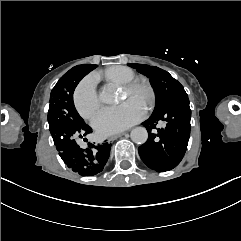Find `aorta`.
<instances>
[{
	"label": "aorta",
	"mask_w": 241,
	"mask_h": 241,
	"mask_svg": "<svg viewBox=\"0 0 241 241\" xmlns=\"http://www.w3.org/2000/svg\"><path fill=\"white\" fill-rule=\"evenodd\" d=\"M118 97L114 86H104L99 93L101 102L105 104H113ZM131 140L137 144H144L148 139V132L145 127H136L130 133Z\"/></svg>",
	"instance_id": "762f6f07"
}]
</instances>
